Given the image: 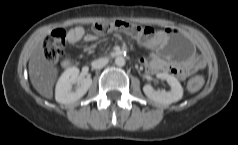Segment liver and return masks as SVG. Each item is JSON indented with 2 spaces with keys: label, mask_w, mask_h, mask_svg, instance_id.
I'll return each instance as SVG.
<instances>
[{
  "label": "liver",
  "mask_w": 238,
  "mask_h": 145,
  "mask_svg": "<svg viewBox=\"0 0 238 145\" xmlns=\"http://www.w3.org/2000/svg\"><path fill=\"white\" fill-rule=\"evenodd\" d=\"M29 77L36 91L47 99L53 98L58 69L46 59L42 45H36L29 60Z\"/></svg>",
  "instance_id": "6515ba94"
}]
</instances>
